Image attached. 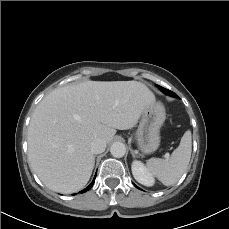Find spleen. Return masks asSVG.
Masks as SVG:
<instances>
[{
	"instance_id": "spleen-1",
	"label": "spleen",
	"mask_w": 229,
	"mask_h": 229,
	"mask_svg": "<svg viewBox=\"0 0 229 229\" xmlns=\"http://www.w3.org/2000/svg\"><path fill=\"white\" fill-rule=\"evenodd\" d=\"M192 151L191 132L186 131L179 146L168 159L151 158L147 161L148 170L165 186L175 184L186 171Z\"/></svg>"
}]
</instances>
